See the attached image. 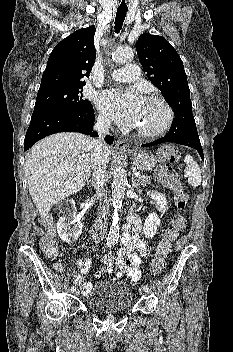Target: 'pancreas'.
<instances>
[{"instance_id": "cf45deb5", "label": "pancreas", "mask_w": 233, "mask_h": 352, "mask_svg": "<svg viewBox=\"0 0 233 352\" xmlns=\"http://www.w3.org/2000/svg\"><path fill=\"white\" fill-rule=\"evenodd\" d=\"M137 183H138V186L146 187L147 185L150 184V177L147 175H140L137 178Z\"/></svg>"}]
</instances>
